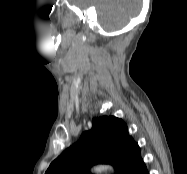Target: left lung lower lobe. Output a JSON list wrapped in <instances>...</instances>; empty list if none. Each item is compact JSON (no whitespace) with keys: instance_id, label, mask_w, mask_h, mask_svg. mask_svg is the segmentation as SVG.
Segmentation results:
<instances>
[{"instance_id":"1","label":"left lung lower lobe","mask_w":187,"mask_h":174,"mask_svg":"<svg viewBox=\"0 0 187 174\" xmlns=\"http://www.w3.org/2000/svg\"><path fill=\"white\" fill-rule=\"evenodd\" d=\"M130 174H149L144 162L137 164Z\"/></svg>"}]
</instances>
